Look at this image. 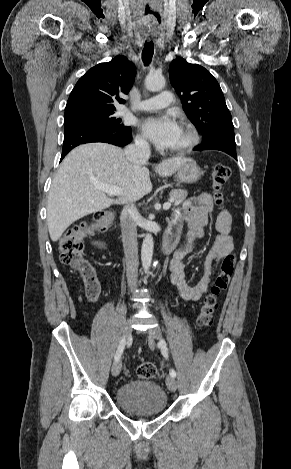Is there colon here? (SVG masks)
<instances>
[{
    "label": "colon",
    "mask_w": 291,
    "mask_h": 469,
    "mask_svg": "<svg viewBox=\"0 0 291 469\" xmlns=\"http://www.w3.org/2000/svg\"><path fill=\"white\" fill-rule=\"evenodd\" d=\"M231 176L228 165L217 163L212 171V190L215 203L221 207L223 204L222 189ZM112 220V212L103 210L93 214L87 222H82L68 229L59 243L60 260L63 264L77 270L83 279L92 278L94 272L83 258L84 239L96 231L104 230ZM236 264L234 253L227 254L220 265V270L212 284L210 292L203 299L197 317V324L207 328L212 326L218 308V296L226 290ZM99 291L95 287L86 288V297L90 302L97 300ZM156 367L151 362H143L137 368V375L141 379L154 377Z\"/></svg>",
    "instance_id": "colon-1"
}]
</instances>
